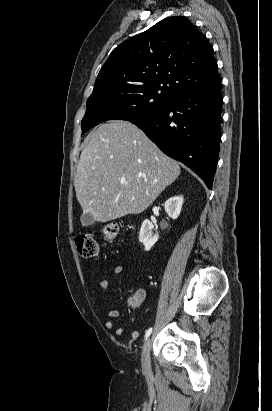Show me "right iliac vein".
<instances>
[{
  "label": "right iliac vein",
  "instance_id": "1",
  "mask_svg": "<svg viewBox=\"0 0 272 411\" xmlns=\"http://www.w3.org/2000/svg\"><path fill=\"white\" fill-rule=\"evenodd\" d=\"M150 349H151V339L148 338L142 348V366L145 371L150 369Z\"/></svg>",
  "mask_w": 272,
  "mask_h": 411
}]
</instances>
